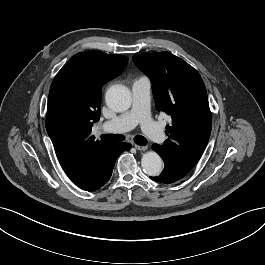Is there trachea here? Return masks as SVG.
Returning a JSON list of instances; mask_svg holds the SVG:
<instances>
[{
    "mask_svg": "<svg viewBox=\"0 0 265 265\" xmlns=\"http://www.w3.org/2000/svg\"><path fill=\"white\" fill-rule=\"evenodd\" d=\"M101 138L107 142H121L125 139V136L120 134H104L101 135ZM134 141L140 146H144L147 144L146 138L140 135H136L134 137Z\"/></svg>",
    "mask_w": 265,
    "mask_h": 265,
    "instance_id": "1",
    "label": "trachea"
}]
</instances>
